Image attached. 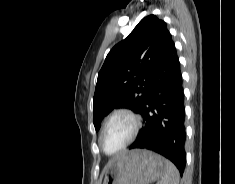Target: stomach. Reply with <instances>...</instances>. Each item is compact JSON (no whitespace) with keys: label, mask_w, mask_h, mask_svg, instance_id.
<instances>
[{"label":"stomach","mask_w":235,"mask_h":184,"mask_svg":"<svg viewBox=\"0 0 235 184\" xmlns=\"http://www.w3.org/2000/svg\"><path fill=\"white\" fill-rule=\"evenodd\" d=\"M164 158L149 150H131L110 162L103 184H152L162 178Z\"/></svg>","instance_id":"stomach-1"}]
</instances>
